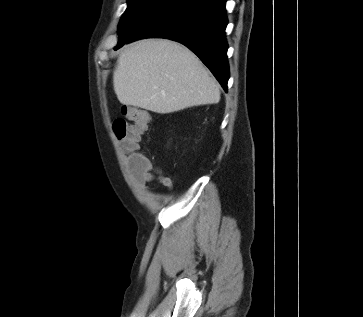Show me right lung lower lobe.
Here are the masks:
<instances>
[{
  "label": "right lung lower lobe",
  "mask_w": 363,
  "mask_h": 317,
  "mask_svg": "<svg viewBox=\"0 0 363 317\" xmlns=\"http://www.w3.org/2000/svg\"><path fill=\"white\" fill-rule=\"evenodd\" d=\"M226 0H180L146 24L125 43L159 37L180 42L191 49L227 91L229 66L225 39Z\"/></svg>",
  "instance_id": "obj_1"
}]
</instances>
